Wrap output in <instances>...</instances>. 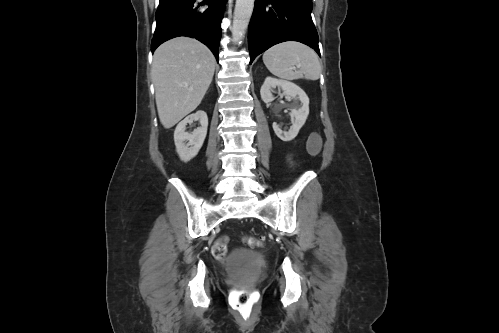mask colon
<instances>
[{
  "mask_svg": "<svg viewBox=\"0 0 499 333\" xmlns=\"http://www.w3.org/2000/svg\"><path fill=\"white\" fill-rule=\"evenodd\" d=\"M322 139L318 133H312L309 136L307 149L311 156H317L321 151ZM247 242L253 246H261L262 240L257 238H247ZM228 248L227 237L218 238L212 246V254L218 260H223L226 257ZM258 297L251 290L235 287L229 297L231 307L243 316H249L256 304Z\"/></svg>",
  "mask_w": 499,
  "mask_h": 333,
  "instance_id": "colon-1",
  "label": "colon"
}]
</instances>
